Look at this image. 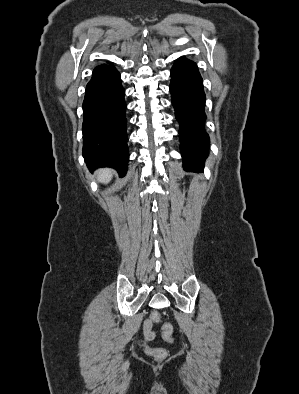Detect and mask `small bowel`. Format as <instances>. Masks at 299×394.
<instances>
[{
  "label": "small bowel",
  "instance_id": "small-bowel-1",
  "mask_svg": "<svg viewBox=\"0 0 299 394\" xmlns=\"http://www.w3.org/2000/svg\"><path fill=\"white\" fill-rule=\"evenodd\" d=\"M143 329H144L145 338H146L147 340H153L154 337H155V335H154V332L152 331V321H151L150 319H147V320L144 322V327H143Z\"/></svg>",
  "mask_w": 299,
  "mask_h": 394
}]
</instances>
